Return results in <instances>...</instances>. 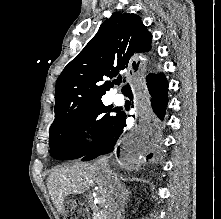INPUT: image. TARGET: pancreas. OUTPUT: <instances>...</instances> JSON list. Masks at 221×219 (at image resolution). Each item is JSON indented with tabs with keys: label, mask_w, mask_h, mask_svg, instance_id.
<instances>
[{
	"label": "pancreas",
	"mask_w": 221,
	"mask_h": 219,
	"mask_svg": "<svg viewBox=\"0 0 221 219\" xmlns=\"http://www.w3.org/2000/svg\"><path fill=\"white\" fill-rule=\"evenodd\" d=\"M102 217L100 215H98V216L95 217V219H103Z\"/></svg>",
	"instance_id": "pancreas-1"
}]
</instances>
